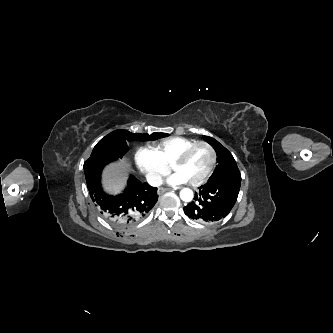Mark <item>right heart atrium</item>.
I'll return each instance as SVG.
<instances>
[{
  "mask_svg": "<svg viewBox=\"0 0 333 333\" xmlns=\"http://www.w3.org/2000/svg\"><path fill=\"white\" fill-rule=\"evenodd\" d=\"M135 163L149 184L158 186L167 174V166L160 160L156 152L147 146L139 147L135 153Z\"/></svg>",
  "mask_w": 333,
  "mask_h": 333,
  "instance_id": "right-heart-atrium-1",
  "label": "right heart atrium"
}]
</instances>
